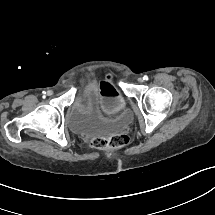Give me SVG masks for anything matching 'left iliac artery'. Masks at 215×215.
Listing matches in <instances>:
<instances>
[{
  "instance_id": "obj_1",
  "label": "left iliac artery",
  "mask_w": 215,
  "mask_h": 215,
  "mask_svg": "<svg viewBox=\"0 0 215 215\" xmlns=\"http://www.w3.org/2000/svg\"><path fill=\"white\" fill-rule=\"evenodd\" d=\"M143 80H148V76L145 75V76L143 77Z\"/></svg>"
}]
</instances>
